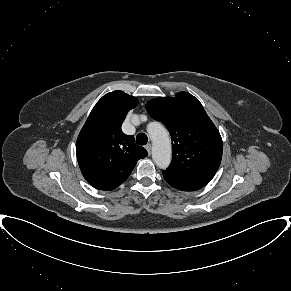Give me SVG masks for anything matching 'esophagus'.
I'll use <instances>...</instances> for the list:
<instances>
[{"instance_id":"obj_1","label":"esophagus","mask_w":291,"mask_h":291,"mask_svg":"<svg viewBox=\"0 0 291 291\" xmlns=\"http://www.w3.org/2000/svg\"><path fill=\"white\" fill-rule=\"evenodd\" d=\"M151 144H147L146 146H145V148H146V150L148 151V153L150 154L151 153Z\"/></svg>"}]
</instances>
